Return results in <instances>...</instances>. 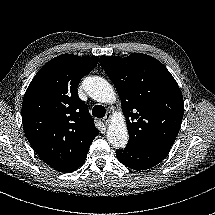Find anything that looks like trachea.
<instances>
[{
    "mask_svg": "<svg viewBox=\"0 0 215 215\" xmlns=\"http://www.w3.org/2000/svg\"><path fill=\"white\" fill-rule=\"evenodd\" d=\"M106 114V109L104 106L102 105H96L93 107V110H92V115L97 117V118H102L104 117Z\"/></svg>",
    "mask_w": 215,
    "mask_h": 215,
    "instance_id": "obj_1",
    "label": "trachea"
}]
</instances>
